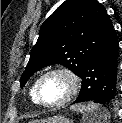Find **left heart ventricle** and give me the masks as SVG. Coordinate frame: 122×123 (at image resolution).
I'll return each instance as SVG.
<instances>
[{
  "mask_svg": "<svg viewBox=\"0 0 122 123\" xmlns=\"http://www.w3.org/2000/svg\"><path fill=\"white\" fill-rule=\"evenodd\" d=\"M69 90L68 79L60 74L45 78L41 86V97L46 103H54L62 99Z\"/></svg>",
  "mask_w": 122,
  "mask_h": 123,
  "instance_id": "b2bd125f",
  "label": "left heart ventricle"
}]
</instances>
